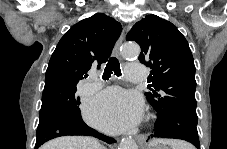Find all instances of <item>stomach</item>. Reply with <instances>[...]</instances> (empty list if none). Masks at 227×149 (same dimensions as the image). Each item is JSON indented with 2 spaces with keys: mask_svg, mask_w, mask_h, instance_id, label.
<instances>
[{
  "mask_svg": "<svg viewBox=\"0 0 227 149\" xmlns=\"http://www.w3.org/2000/svg\"><path fill=\"white\" fill-rule=\"evenodd\" d=\"M154 149H162L160 146H156Z\"/></svg>",
  "mask_w": 227,
  "mask_h": 149,
  "instance_id": "obj_1",
  "label": "stomach"
}]
</instances>
